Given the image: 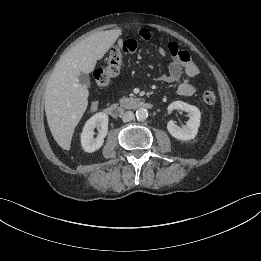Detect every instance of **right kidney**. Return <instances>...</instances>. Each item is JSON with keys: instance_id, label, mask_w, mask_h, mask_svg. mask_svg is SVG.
<instances>
[{"instance_id": "obj_1", "label": "right kidney", "mask_w": 261, "mask_h": 261, "mask_svg": "<svg viewBox=\"0 0 261 261\" xmlns=\"http://www.w3.org/2000/svg\"><path fill=\"white\" fill-rule=\"evenodd\" d=\"M108 115L103 112L94 114L89 118L81 133V144L85 152L92 153L104 143V138L108 133ZM98 128V136L94 138V128Z\"/></svg>"}]
</instances>
